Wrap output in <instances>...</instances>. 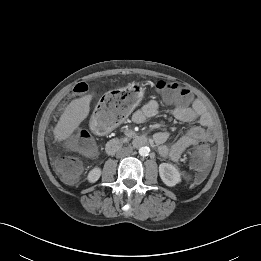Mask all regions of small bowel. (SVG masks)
Here are the masks:
<instances>
[{"mask_svg":"<svg viewBox=\"0 0 261 261\" xmlns=\"http://www.w3.org/2000/svg\"><path fill=\"white\" fill-rule=\"evenodd\" d=\"M159 112V104L156 100L148 101L141 109L137 110L132 120L135 123H144L147 119L155 117ZM173 116L182 122L192 123L201 120V125H194L188 128L184 134L174 143L166 144L169 134L166 131L157 132L154 141L158 145L159 154L172 161H178L184 151L200 142H213L215 131L211 119L204 113V105L201 101L195 100L191 106L177 107L172 110Z\"/></svg>","mask_w":261,"mask_h":261,"instance_id":"1","label":"small bowel"}]
</instances>
